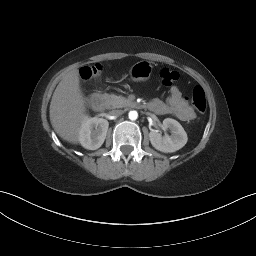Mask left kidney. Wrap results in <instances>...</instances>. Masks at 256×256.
Segmentation results:
<instances>
[{
  "label": "left kidney",
  "mask_w": 256,
  "mask_h": 256,
  "mask_svg": "<svg viewBox=\"0 0 256 256\" xmlns=\"http://www.w3.org/2000/svg\"><path fill=\"white\" fill-rule=\"evenodd\" d=\"M163 126L170 130L171 135L162 136L158 130H152L149 133L150 142L155 149L164 153H171L185 146L188 137L178 121L166 118L163 121Z\"/></svg>",
  "instance_id": "left-kidney-1"
}]
</instances>
